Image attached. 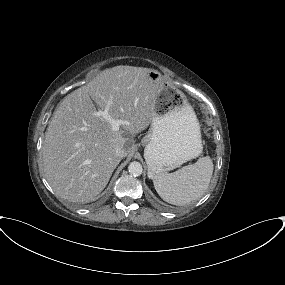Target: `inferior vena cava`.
<instances>
[{
	"label": "inferior vena cava",
	"mask_w": 285,
	"mask_h": 285,
	"mask_svg": "<svg viewBox=\"0 0 285 285\" xmlns=\"http://www.w3.org/2000/svg\"><path fill=\"white\" fill-rule=\"evenodd\" d=\"M115 154H116L117 157L123 158L126 153H125V151H124L123 148L118 147V148H116V150H115Z\"/></svg>",
	"instance_id": "inferior-vena-cava-1"
}]
</instances>
